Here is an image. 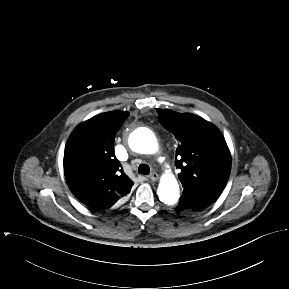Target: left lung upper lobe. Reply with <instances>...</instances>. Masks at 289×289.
<instances>
[{"label":"left lung upper lobe","mask_w":289,"mask_h":289,"mask_svg":"<svg viewBox=\"0 0 289 289\" xmlns=\"http://www.w3.org/2000/svg\"><path fill=\"white\" fill-rule=\"evenodd\" d=\"M156 110L160 123L179 141L175 165L181 169L178 176L183 194L215 201L231 170V155L223 135L215 125L197 115Z\"/></svg>","instance_id":"left-lung-upper-lobe-1"}]
</instances>
